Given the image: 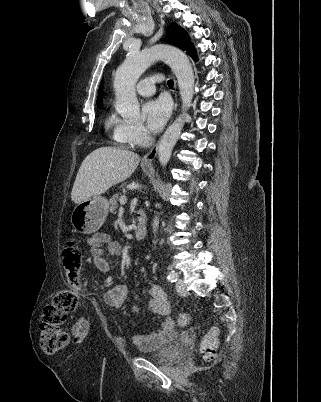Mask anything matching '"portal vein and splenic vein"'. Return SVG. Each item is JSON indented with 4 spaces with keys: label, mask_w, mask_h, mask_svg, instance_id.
<instances>
[{
    "label": "portal vein and splenic vein",
    "mask_w": 321,
    "mask_h": 402,
    "mask_svg": "<svg viewBox=\"0 0 321 402\" xmlns=\"http://www.w3.org/2000/svg\"><path fill=\"white\" fill-rule=\"evenodd\" d=\"M119 202H120V205L126 204V202H127L126 197H120Z\"/></svg>",
    "instance_id": "1"
}]
</instances>
